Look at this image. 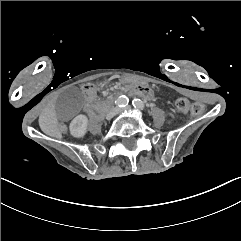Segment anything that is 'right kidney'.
Masks as SVG:
<instances>
[{"mask_svg": "<svg viewBox=\"0 0 241 241\" xmlns=\"http://www.w3.org/2000/svg\"><path fill=\"white\" fill-rule=\"evenodd\" d=\"M69 132L73 138H84L88 132V117L84 114L77 115L69 125Z\"/></svg>", "mask_w": 241, "mask_h": 241, "instance_id": "obj_1", "label": "right kidney"}]
</instances>
